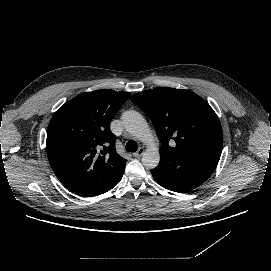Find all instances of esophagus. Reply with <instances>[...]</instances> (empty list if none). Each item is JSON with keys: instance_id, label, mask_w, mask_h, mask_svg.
Returning <instances> with one entry per match:
<instances>
[{"instance_id": "esophagus-1", "label": "esophagus", "mask_w": 271, "mask_h": 271, "mask_svg": "<svg viewBox=\"0 0 271 271\" xmlns=\"http://www.w3.org/2000/svg\"><path fill=\"white\" fill-rule=\"evenodd\" d=\"M143 153H144V148H143V147H140V148L137 150V152L133 153V156H134L135 158H141L142 155H143Z\"/></svg>"}]
</instances>
